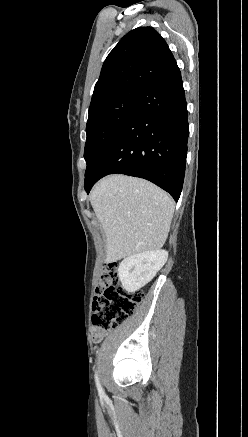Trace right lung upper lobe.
I'll use <instances>...</instances> for the list:
<instances>
[{
  "label": "right lung upper lobe",
  "mask_w": 248,
  "mask_h": 437,
  "mask_svg": "<svg viewBox=\"0 0 248 437\" xmlns=\"http://www.w3.org/2000/svg\"><path fill=\"white\" fill-rule=\"evenodd\" d=\"M174 60L167 43L151 27L126 34L104 61L89 112L127 92H140Z\"/></svg>",
  "instance_id": "cb5924a9"
}]
</instances>
